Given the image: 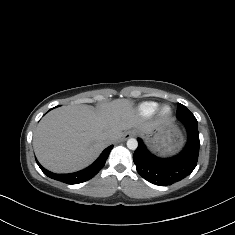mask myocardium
Here are the masks:
<instances>
[{"label": "myocardium", "mask_w": 235, "mask_h": 235, "mask_svg": "<svg viewBox=\"0 0 235 235\" xmlns=\"http://www.w3.org/2000/svg\"><path fill=\"white\" fill-rule=\"evenodd\" d=\"M169 108V113H165V109ZM174 115V109L169 103L162 104L156 111V117L160 121H169Z\"/></svg>", "instance_id": "obj_1"}]
</instances>
